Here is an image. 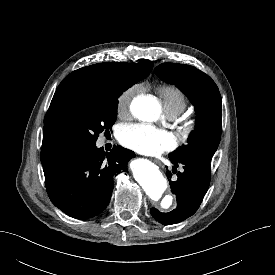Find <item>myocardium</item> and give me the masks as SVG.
I'll use <instances>...</instances> for the list:
<instances>
[{"label": "myocardium", "instance_id": "1", "mask_svg": "<svg viewBox=\"0 0 275 275\" xmlns=\"http://www.w3.org/2000/svg\"><path fill=\"white\" fill-rule=\"evenodd\" d=\"M190 129H191V124L188 123V122H184V123L182 124V126H181V132H182L183 134L188 133V132L190 131Z\"/></svg>", "mask_w": 275, "mask_h": 275}]
</instances>
